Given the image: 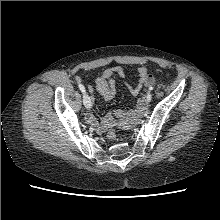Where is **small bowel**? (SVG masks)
<instances>
[{"label": "small bowel", "mask_w": 220, "mask_h": 220, "mask_svg": "<svg viewBox=\"0 0 220 220\" xmlns=\"http://www.w3.org/2000/svg\"><path fill=\"white\" fill-rule=\"evenodd\" d=\"M137 75L139 78L138 83L135 86L128 87L130 93L134 96L139 95L142 89L155 83V78L149 73L147 67L145 66H140L137 68ZM116 77H125V70L122 67L116 66L104 70L101 75L94 80V86L88 87L91 99L94 98L95 92H97L105 100L112 99L116 94V87L114 84V78ZM144 103V99L142 98L137 108L139 110L143 109ZM86 121L89 124L100 128L105 127L107 124V119L99 123L93 114H87Z\"/></svg>", "instance_id": "1"}]
</instances>
